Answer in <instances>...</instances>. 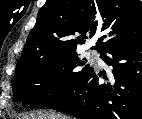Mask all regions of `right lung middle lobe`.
I'll list each match as a JSON object with an SVG mask.
<instances>
[{"label":"right lung middle lobe","instance_id":"obj_1","mask_svg":"<svg viewBox=\"0 0 142 119\" xmlns=\"http://www.w3.org/2000/svg\"><path fill=\"white\" fill-rule=\"evenodd\" d=\"M92 70L78 58L76 50L45 56L16 71L12 79L14 99L50 107L76 90Z\"/></svg>","mask_w":142,"mask_h":119}]
</instances>
